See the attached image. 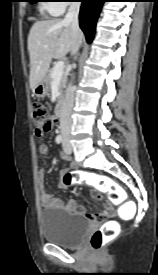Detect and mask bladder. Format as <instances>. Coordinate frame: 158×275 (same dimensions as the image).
<instances>
[{"mask_svg":"<svg viewBox=\"0 0 158 275\" xmlns=\"http://www.w3.org/2000/svg\"><path fill=\"white\" fill-rule=\"evenodd\" d=\"M43 238L65 248L78 246L90 226L83 215L62 208H46L41 213Z\"/></svg>","mask_w":158,"mask_h":275,"instance_id":"1","label":"bladder"}]
</instances>
